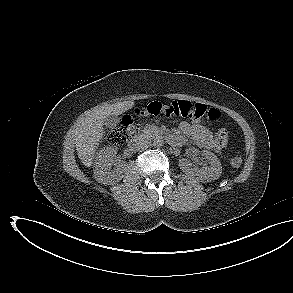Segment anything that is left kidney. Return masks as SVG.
I'll list each match as a JSON object with an SVG mask.
<instances>
[{"label":"left kidney","mask_w":293,"mask_h":293,"mask_svg":"<svg viewBox=\"0 0 293 293\" xmlns=\"http://www.w3.org/2000/svg\"><path fill=\"white\" fill-rule=\"evenodd\" d=\"M201 155L209 161V166L204 165L202 168L191 166L190 160L180 159L179 166L186 174L196 178L202 182L216 180L221 176L222 166L217 156L207 150L202 151Z\"/></svg>","instance_id":"1"}]
</instances>
